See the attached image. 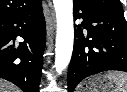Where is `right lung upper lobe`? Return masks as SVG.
Segmentation results:
<instances>
[{"label":"right lung upper lobe","mask_w":127,"mask_h":92,"mask_svg":"<svg viewBox=\"0 0 127 92\" xmlns=\"http://www.w3.org/2000/svg\"><path fill=\"white\" fill-rule=\"evenodd\" d=\"M42 0H0V20L30 11Z\"/></svg>","instance_id":"1"}]
</instances>
